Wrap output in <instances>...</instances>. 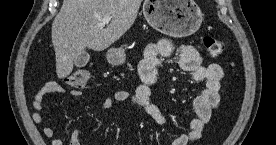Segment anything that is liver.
<instances>
[{
    "instance_id": "liver-1",
    "label": "liver",
    "mask_w": 276,
    "mask_h": 145,
    "mask_svg": "<svg viewBox=\"0 0 276 145\" xmlns=\"http://www.w3.org/2000/svg\"><path fill=\"white\" fill-rule=\"evenodd\" d=\"M142 0H64L52 23V43L58 78L73 70L78 54L86 47L102 51L133 25ZM111 16L104 27L103 17Z\"/></svg>"
}]
</instances>
